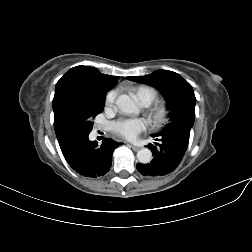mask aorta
I'll return each mask as SVG.
<instances>
[{
	"instance_id": "aorta-1",
	"label": "aorta",
	"mask_w": 252,
	"mask_h": 252,
	"mask_svg": "<svg viewBox=\"0 0 252 252\" xmlns=\"http://www.w3.org/2000/svg\"><path fill=\"white\" fill-rule=\"evenodd\" d=\"M116 106L122 113L126 115L136 114L138 112V108L135 102L125 94L118 96V98L116 99ZM137 159L142 164L149 163L152 160L151 150L148 148L140 149L137 152Z\"/></svg>"
}]
</instances>
